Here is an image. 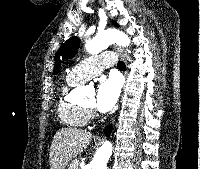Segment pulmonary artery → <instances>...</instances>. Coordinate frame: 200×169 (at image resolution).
<instances>
[{
    "mask_svg": "<svg viewBox=\"0 0 200 169\" xmlns=\"http://www.w3.org/2000/svg\"><path fill=\"white\" fill-rule=\"evenodd\" d=\"M115 64L111 53L91 56L72 68L67 78L73 82L82 83L101 74L106 68Z\"/></svg>",
    "mask_w": 200,
    "mask_h": 169,
    "instance_id": "obj_1",
    "label": "pulmonary artery"
}]
</instances>
